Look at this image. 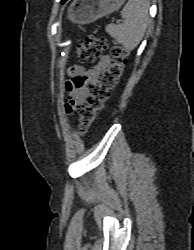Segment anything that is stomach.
<instances>
[{
    "instance_id": "obj_1",
    "label": "stomach",
    "mask_w": 194,
    "mask_h": 250,
    "mask_svg": "<svg viewBox=\"0 0 194 250\" xmlns=\"http://www.w3.org/2000/svg\"><path fill=\"white\" fill-rule=\"evenodd\" d=\"M125 0H74L69 6L68 18L78 24L91 23L118 10Z\"/></svg>"
}]
</instances>
